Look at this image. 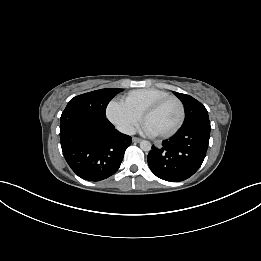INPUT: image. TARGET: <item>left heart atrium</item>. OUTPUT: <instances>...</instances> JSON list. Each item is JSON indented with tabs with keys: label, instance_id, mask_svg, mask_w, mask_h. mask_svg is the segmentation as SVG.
Wrapping results in <instances>:
<instances>
[{
	"label": "left heart atrium",
	"instance_id": "left-heart-atrium-1",
	"mask_svg": "<svg viewBox=\"0 0 261 261\" xmlns=\"http://www.w3.org/2000/svg\"><path fill=\"white\" fill-rule=\"evenodd\" d=\"M142 130H143V132H145L146 134H149V135L156 134V132L146 123L143 124Z\"/></svg>",
	"mask_w": 261,
	"mask_h": 261
}]
</instances>
